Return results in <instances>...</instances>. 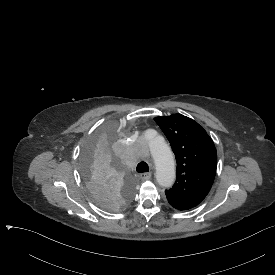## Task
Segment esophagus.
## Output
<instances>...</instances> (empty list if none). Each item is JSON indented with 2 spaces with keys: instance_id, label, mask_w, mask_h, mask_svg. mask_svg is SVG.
<instances>
[{
  "instance_id": "obj_1",
  "label": "esophagus",
  "mask_w": 275,
  "mask_h": 275,
  "mask_svg": "<svg viewBox=\"0 0 275 275\" xmlns=\"http://www.w3.org/2000/svg\"><path fill=\"white\" fill-rule=\"evenodd\" d=\"M139 177L142 179V180H149L151 178V173L147 172V173H141L139 175Z\"/></svg>"
}]
</instances>
